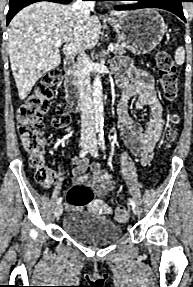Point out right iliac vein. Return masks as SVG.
Returning <instances> with one entry per match:
<instances>
[{"instance_id": "63e3f726", "label": "right iliac vein", "mask_w": 193, "mask_h": 287, "mask_svg": "<svg viewBox=\"0 0 193 287\" xmlns=\"http://www.w3.org/2000/svg\"><path fill=\"white\" fill-rule=\"evenodd\" d=\"M90 143V140L88 138H83L81 139L80 145L82 148H86ZM63 212V205L58 204L57 207L55 208V216L60 217Z\"/></svg>"}]
</instances>
